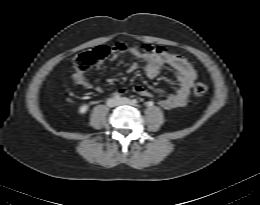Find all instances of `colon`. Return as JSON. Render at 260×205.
Masks as SVG:
<instances>
[{
  "instance_id": "1",
  "label": "colon",
  "mask_w": 260,
  "mask_h": 205,
  "mask_svg": "<svg viewBox=\"0 0 260 205\" xmlns=\"http://www.w3.org/2000/svg\"><path fill=\"white\" fill-rule=\"evenodd\" d=\"M134 46L142 52L154 53L156 55L164 56L169 52L165 47L154 46L147 43H138ZM116 48H122V46H116ZM108 54V48L106 46H98L89 51L80 53L74 59V67L77 71L85 72L95 66L98 62L103 60ZM208 87L205 83L198 82L194 84L192 92L196 97H203L206 95Z\"/></svg>"
}]
</instances>
